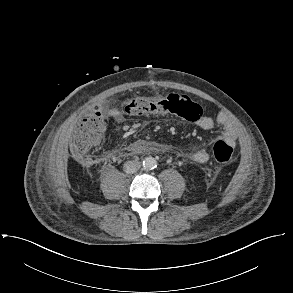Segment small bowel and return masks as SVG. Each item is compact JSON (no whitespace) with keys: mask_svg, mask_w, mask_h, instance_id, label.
Wrapping results in <instances>:
<instances>
[{"mask_svg":"<svg viewBox=\"0 0 293 293\" xmlns=\"http://www.w3.org/2000/svg\"><path fill=\"white\" fill-rule=\"evenodd\" d=\"M103 110L105 111L107 115H109L113 119L117 121L122 120V113L120 112L118 108L105 105L103 106ZM195 124L198 128L203 130H211L215 128L216 126V122L211 117L205 116V115L201 116L195 122ZM222 126H223V129L220 135V139L224 140L225 142L230 144L232 147H235L237 144V139H238L235 127L228 121H223ZM187 156L189 159L197 163H205L209 160V153L205 148L195 150L189 153ZM86 163L93 164L94 161L88 158L86 159Z\"/></svg>","mask_w":293,"mask_h":293,"instance_id":"c3829d8e","label":"small bowel"}]
</instances>
